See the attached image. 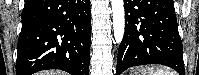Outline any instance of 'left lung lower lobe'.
Segmentation results:
<instances>
[{
	"mask_svg": "<svg viewBox=\"0 0 199 75\" xmlns=\"http://www.w3.org/2000/svg\"><path fill=\"white\" fill-rule=\"evenodd\" d=\"M125 32L116 75L129 67L162 64L185 75L173 0H124Z\"/></svg>",
	"mask_w": 199,
	"mask_h": 75,
	"instance_id": "1",
	"label": "left lung lower lobe"
}]
</instances>
